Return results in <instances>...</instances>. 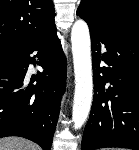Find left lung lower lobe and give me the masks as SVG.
<instances>
[{
	"label": "left lung lower lobe",
	"mask_w": 139,
	"mask_h": 150,
	"mask_svg": "<svg viewBox=\"0 0 139 150\" xmlns=\"http://www.w3.org/2000/svg\"><path fill=\"white\" fill-rule=\"evenodd\" d=\"M89 29L94 96L81 150H139V20L107 34Z\"/></svg>",
	"instance_id": "0a47b994"
}]
</instances>
